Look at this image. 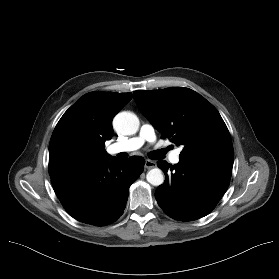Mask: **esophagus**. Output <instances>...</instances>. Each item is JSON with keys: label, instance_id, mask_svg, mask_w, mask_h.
Segmentation results:
<instances>
[{"label": "esophagus", "instance_id": "1", "mask_svg": "<svg viewBox=\"0 0 279 279\" xmlns=\"http://www.w3.org/2000/svg\"><path fill=\"white\" fill-rule=\"evenodd\" d=\"M145 167H146L147 169H152V168L156 167V162H155V161H152V160H150V159H147V160L145 161Z\"/></svg>", "mask_w": 279, "mask_h": 279}]
</instances>
